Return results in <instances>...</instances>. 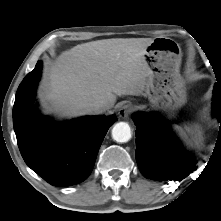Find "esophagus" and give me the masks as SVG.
I'll return each mask as SVG.
<instances>
[{"label":"esophagus","mask_w":221,"mask_h":221,"mask_svg":"<svg viewBox=\"0 0 221 221\" xmlns=\"http://www.w3.org/2000/svg\"><path fill=\"white\" fill-rule=\"evenodd\" d=\"M133 111V107L129 104H125L120 107L118 110V115L121 118H126L130 115V113Z\"/></svg>","instance_id":"obj_1"}]
</instances>
